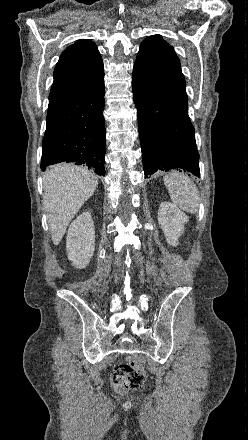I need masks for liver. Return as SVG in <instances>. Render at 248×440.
<instances>
[{
    "label": "liver",
    "instance_id": "1",
    "mask_svg": "<svg viewBox=\"0 0 248 440\" xmlns=\"http://www.w3.org/2000/svg\"><path fill=\"white\" fill-rule=\"evenodd\" d=\"M43 184L49 230L58 245L71 220L94 194L98 178L84 167L64 163L47 169Z\"/></svg>",
    "mask_w": 248,
    "mask_h": 440
}]
</instances>
